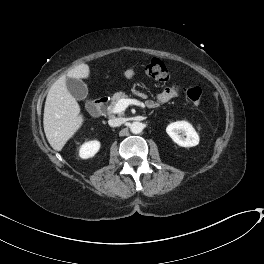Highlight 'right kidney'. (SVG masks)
I'll use <instances>...</instances> for the list:
<instances>
[{
  "mask_svg": "<svg viewBox=\"0 0 264 264\" xmlns=\"http://www.w3.org/2000/svg\"><path fill=\"white\" fill-rule=\"evenodd\" d=\"M100 143L98 141H90L84 143L79 149V156L83 159L93 157L99 150Z\"/></svg>",
  "mask_w": 264,
  "mask_h": 264,
  "instance_id": "1",
  "label": "right kidney"
}]
</instances>
